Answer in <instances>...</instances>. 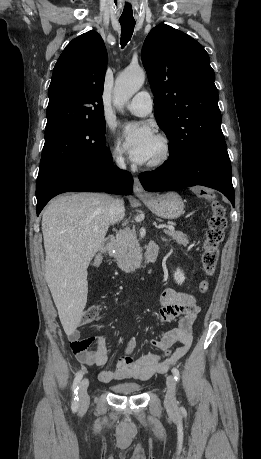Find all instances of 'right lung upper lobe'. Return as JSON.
<instances>
[{
	"label": "right lung upper lobe",
	"mask_w": 261,
	"mask_h": 459,
	"mask_svg": "<svg viewBox=\"0 0 261 459\" xmlns=\"http://www.w3.org/2000/svg\"><path fill=\"white\" fill-rule=\"evenodd\" d=\"M107 52L89 31L72 40L55 64L49 86L46 130L104 119L102 93Z\"/></svg>",
	"instance_id": "right-lung-upper-lobe-1"
}]
</instances>
